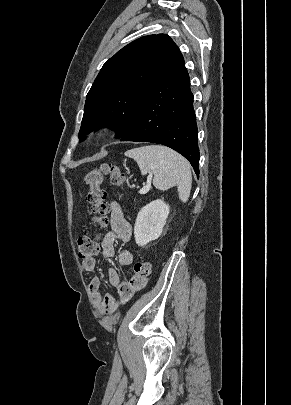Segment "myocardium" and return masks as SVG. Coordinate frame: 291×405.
Masks as SVG:
<instances>
[{
    "label": "myocardium",
    "mask_w": 291,
    "mask_h": 405,
    "mask_svg": "<svg viewBox=\"0 0 291 405\" xmlns=\"http://www.w3.org/2000/svg\"><path fill=\"white\" fill-rule=\"evenodd\" d=\"M109 131L107 128H100L95 132V138L97 140H103L104 138L107 137Z\"/></svg>",
    "instance_id": "f54148a6"
}]
</instances>
